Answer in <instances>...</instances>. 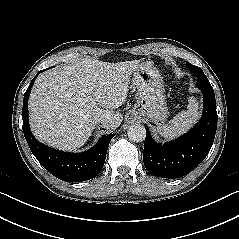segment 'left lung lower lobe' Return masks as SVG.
<instances>
[{
	"label": "left lung lower lobe",
	"mask_w": 239,
	"mask_h": 239,
	"mask_svg": "<svg viewBox=\"0 0 239 239\" xmlns=\"http://www.w3.org/2000/svg\"><path fill=\"white\" fill-rule=\"evenodd\" d=\"M203 93L204 108L201 120L194 128L175 141L157 144L146 128L143 162L155 176L175 179L187 175L209 153L217 128L215 94L209 81H197Z\"/></svg>",
	"instance_id": "obj_1"
}]
</instances>
